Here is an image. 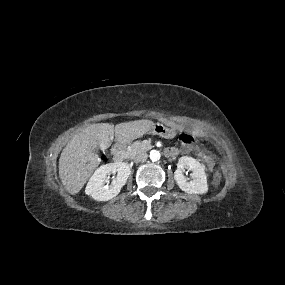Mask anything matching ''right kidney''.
<instances>
[{"mask_svg": "<svg viewBox=\"0 0 285 285\" xmlns=\"http://www.w3.org/2000/svg\"><path fill=\"white\" fill-rule=\"evenodd\" d=\"M131 168L127 163H108L100 166L89 179L85 193L97 201H108L116 197L125 185ZM117 175L110 185H105L109 175Z\"/></svg>", "mask_w": 285, "mask_h": 285, "instance_id": "right-kidney-1", "label": "right kidney"}]
</instances>
